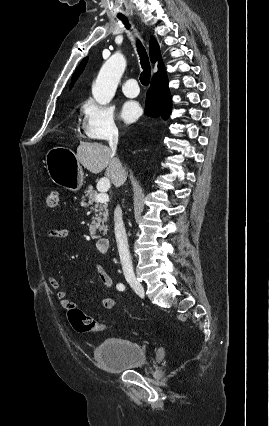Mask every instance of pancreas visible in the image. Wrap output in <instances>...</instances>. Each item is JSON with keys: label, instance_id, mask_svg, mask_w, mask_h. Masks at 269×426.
I'll return each instance as SVG.
<instances>
[{"label": "pancreas", "instance_id": "obj_1", "mask_svg": "<svg viewBox=\"0 0 269 426\" xmlns=\"http://www.w3.org/2000/svg\"><path fill=\"white\" fill-rule=\"evenodd\" d=\"M97 196V192L93 189L92 186H89L85 191V196H82V206L89 207L90 205H94L92 208L95 211V217L92 218L91 225L89 227L90 235L92 238H97L96 230L99 232L102 230L104 232L107 231V227L105 223L108 220V209L107 204H98L95 202V198Z\"/></svg>", "mask_w": 269, "mask_h": 426}]
</instances>
